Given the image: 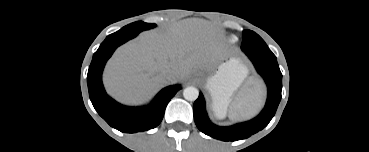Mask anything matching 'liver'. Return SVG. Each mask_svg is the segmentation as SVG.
I'll list each match as a JSON object with an SVG mask.
<instances>
[{
	"mask_svg": "<svg viewBox=\"0 0 369 152\" xmlns=\"http://www.w3.org/2000/svg\"><path fill=\"white\" fill-rule=\"evenodd\" d=\"M218 37V28L201 19L144 32L115 52L104 72L105 87L122 103H143L167 84L187 78L193 68L208 66L218 54ZM168 70L173 71L170 78Z\"/></svg>",
	"mask_w": 369,
	"mask_h": 152,
	"instance_id": "liver-1",
	"label": "liver"
}]
</instances>
